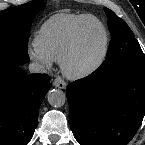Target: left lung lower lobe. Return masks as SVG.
<instances>
[{"mask_svg": "<svg viewBox=\"0 0 145 145\" xmlns=\"http://www.w3.org/2000/svg\"><path fill=\"white\" fill-rule=\"evenodd\" d=\"M70 127L81 145H126L145 115V66L98 69L67 88Z\"/></svg>", "mask_w": 145, "mask_h": 145, "instance_id": "left-lung-lower-lobe-1", "label": "left lung lower lobe"}]
</instances>
